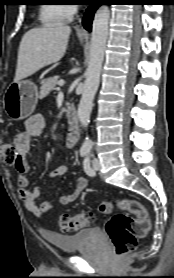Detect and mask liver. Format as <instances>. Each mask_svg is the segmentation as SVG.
I'll use <instances>...</instances> for the list:
<instances>
[{
    "label": "liver",
    "instance_id": "1",
    "mask_svg": "<svg viewBox=\"0 0 174 278\" xmlns=\"http://www.w3.org/2000/svg\"><path fill=\"white\" fill-rule=\"evenodd\" d=\"M71 28L53 25L27 31L19 45L14 82L27 78L65 54Z\"/></svg>",
    "mask_w": 174,
    "mask_h": 278
}]
</instances>
